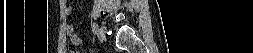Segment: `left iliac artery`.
Masks as SVG:
<instances>
[{
    "instance_id": "44dca946",
    "label": "left iliac artery",
    "mask_w": 253,
    "mask_h": 53,
    "mask_svg": "<svg viewBox=\"0 0 253 53\" xmlns=\"http://www.w3.org/2000/svg\"><path fill=\"white\" fill-rule=\"evenodd\" d=\"M93 32H94V36L98 37L99 33H98V25L96 23L93 24ZM95 42H98V39H95Z\"/></svg>"
}]
</instances>
